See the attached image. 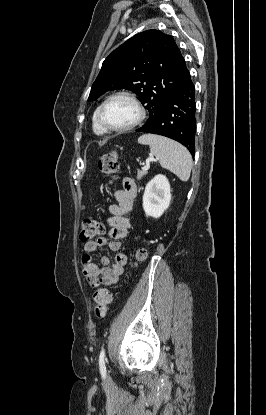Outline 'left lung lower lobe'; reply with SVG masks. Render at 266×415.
Masks as SVG:
<instances>
[{"mask_svg":"<svg viewBox=\"0 0 266 415\" xmlns=\"http://www.w3.org/2000/svg\"><path fill=\"white\" fill-rule=\"evenodd\" d=\"M195 112V86L187 70L180 87L166 102L157 118L136 131L158 134L176 140L194 155Z\"/></svg>","mask_w":266,"mask_h":415,"instance_id":"1","label":"left lung lower lobe"}]
</instances>
